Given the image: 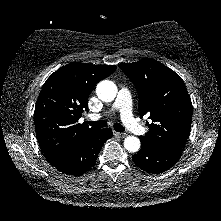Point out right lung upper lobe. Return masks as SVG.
<instances>
[{
	"label": "right lung upper lobe",
	"instance_id": "obj_1",
	"mask_svg": "<svg viewBox=\"0 0 221 221\" xmlns=\"http://www.w3.org/2000/svg\"><path fill=\"white\" fill-rule=\"evenodd\" d=\"M116 66L69 63L54 72L43 85L34 115L36 136L51 165L70 155L98 129L78 123L96 84Z\"/></svg>",
	"mask_w": 221,
	"mask_h": 221
}]
</instances>
